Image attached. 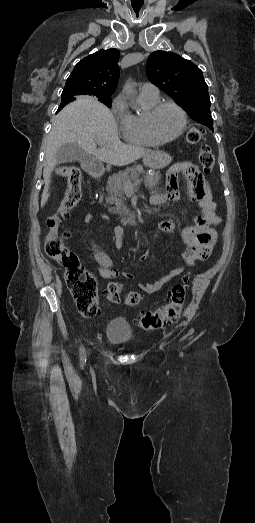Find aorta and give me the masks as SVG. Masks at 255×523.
I'll return each mask as SVG.
<instances>
[{
	"mask_svg": "<svg viewBox=\"0 0 255 523\" xmlns=\"http://www.w3.org/2000/svg\"><path fill=\"white\" fill-rule=\"evenodd\" d=\"M124 90L126 92V94L132 98L134 96V87H133V83L132 82H128L126 83L125 87H124Z\"/></svg>",
	"mask_w": 255,
	"mask_h": 523,
	"instance_id": "762f6f07",
	"label": "aorta"
}]
</instances>
